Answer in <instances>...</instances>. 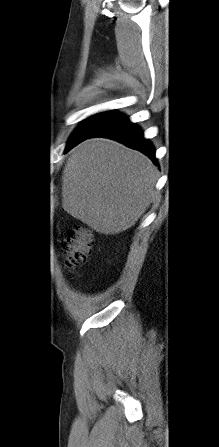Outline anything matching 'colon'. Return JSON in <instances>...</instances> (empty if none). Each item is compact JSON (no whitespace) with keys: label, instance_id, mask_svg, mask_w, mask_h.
<instances>
[{"label":"colon","instance_id":"1","mask_svg":"<svg viewBox=\"0 0 219 447\" xmlns=\"http://www.w3.org/2000/svg\"><path fill=\"white\" fill-rule=\"evenodd\" d=\"M92 245L93 236L88 228L83 226L71 228L62 242L65 267L74 270L85 264L91 253Z\"/></svg>","mask_w":219,"mask_h":447}]
</instances>
